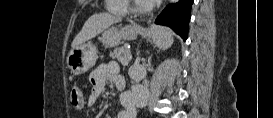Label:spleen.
<instances>
[{"label":"spleen","instance_id":"obj_1","mask_svg":"<svg viewBox=\"0 0 273 118\" xmlns=\"http://www.w3.org/2000/svg\"><path fill=\"white\" fill-rule=\"evenodd\" d=\"M152 36L156 46L163 50L169 48L174 41L170 30L161 26H155L152 28Z\"/></svg>","mask_w":273,"mask_h":118}]
</instances>
